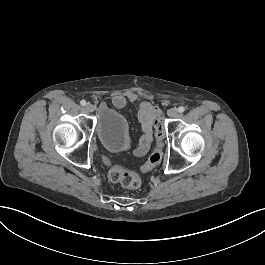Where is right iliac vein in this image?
<instances>
[{
  "mask_svg": "<svg viewBox=\"0 0 265 265\" xmlns=\"http://www.w3.org/2000/svg\"><path fill=\"white\" fill-rule=\"evenodd\" d=\"M85 109H86L87 112L92 113L95 110V106L93 104H91V103H88L86 105Z\"/></svg>",
  "mask_w": 265,
  "mask_h": 265,
  "instance_id": "1",
  "label": "right iliac vein"
}]
</instances>
